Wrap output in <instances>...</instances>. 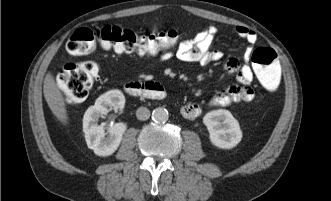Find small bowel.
<instances>
[{
  "label": "small bowel",
  "mask_w": 331,
  "mask_h": 201,
  "mask_svg": "<svg viewBox=\"0 0 331 201\" xmlns=\"http://www.w3.org/2000/svg\"><path fill=\"white\" fill-rule=\"evenodd\" d=\"M215 26H209L199 31L193 38L179 42L174 51H165L160 54L161 61H167L173 57L185 62L200 63L208 65L219 62L223 54L219 50L212 49L217 34ZM236 32L242 39L253 45L258 40L257 33L249 28L238 26ZM251 47L244 56L243 64L236 58H227L224 61L223 69L226 74H235L238 84L231 85L218 91L210 101L211 106H228L234 102H248L254 97V91L250 86L254 79V69L250 64ZM181 114L186 118H195L202 112L201 106L197 103H186L180 108Z\"/></svg>",
  "instance_id": "obj_1"
}]
</instances>
